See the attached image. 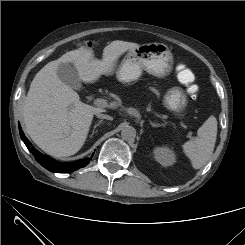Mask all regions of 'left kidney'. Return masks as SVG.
I'll use <instances>...</instances> for the list:
<instances>
[{
    "label": "left kidney",
    "instance_id": "obj_1",
    "mask_svg": "<svg viewBox=\"0 0 245 245\" xmlns=\"http://www.w3.org/2000/svg\"><path fill=\"white\" fill-rule=\"evenodd\" d=\"M153 153L156 161L162 166H171L176 162V155L168 146L156 147Z\"/></svg>",
    "mask_w": 245,
    "mask_h": 245
}]
</instances>
